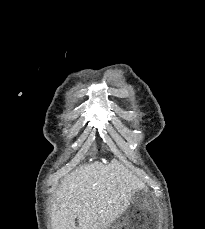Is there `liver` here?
<instances>
[{"mask_svg": "<svg viewBox=\"0 0 205 229\" xmlns=\"http://www.w3.org/2000/svg\"><path fill=\"white\" fill-rule=\"evenodd\" d=\"M136 183V176L117 160L80 166L56 191L53 229H107L126 210Z\"/></svg>", "mask_w": 205, "mask_h": 229, "instance_id": "obj_1", "label": "liver"}]
</instances>
